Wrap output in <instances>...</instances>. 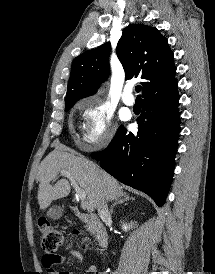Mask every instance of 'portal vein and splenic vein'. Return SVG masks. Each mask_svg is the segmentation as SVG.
I'll return each mask as SVG.
<instances>
[{
	"label": "portal vein and splenic vein",
	"instance_id": "obj_1",
	"mask_svg": "<svg viewBox=\"0 0 215 274\" xmlns=\"http://www.w3.org/2000/svg\"><path fill=\"white\" fill-rule=\"evenodd\" d=\"M60 173H61L62 176H65V177H67L70 180L71 185L73 186V188H74V190L76 192V197L79 200H81L83 203H85V205H86V202H85V200H86V193H85V191L82 190L79 187L78 183L75 181V179L68 172H66V171L63 170Z\"/></svg>",
	"mask_w": 215,
	"mask_h": 274
}]
</instances>
